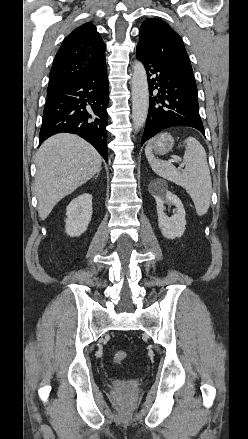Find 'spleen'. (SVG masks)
I'll use <instances>...</instances> for the list:
<instances>
[{
  "label": "spleen",
  "instance_id": "1",
  "mask_svg": "<svg viewBox=\"0 0 248 439\" xmlns=\"http://www.w3.org/2000/svg\"><path fill=\"white\" fill-rule=\"evenodd\" d=\"M185 169L180 171L168 161L156 159L149 145L145 148V155L152 170L163 177L183 187L191 196L199 216L207 213L212 194V182L204 147L194 137L184 141Z\"/></svg>",
  "mask_w": 248,
  "mask_h": 439
}]
</instances>
